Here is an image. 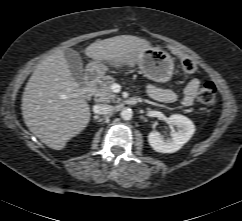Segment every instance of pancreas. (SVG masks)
Instances as JSON below:
<instances>
[{"mask_svg":"<svg viewBox=\"0 0 242 221\" xmlns=\"http://www.w3.org/2000/svg\"><path fill=\"white\" fill-rule=\"evenodd\" d=\"M116 79L112 76H104L99 80L97 84L92 88V94L95 97L96 102L103 103H118L120 98L112 91V85Z\"/></svg>","mask_w":242,"mask_h":221,"instance_id":"pancreas-1","label":"pancreas"}]
</instances>
